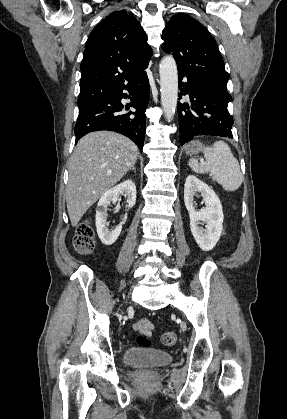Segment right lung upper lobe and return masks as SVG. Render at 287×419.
<instances>
[{"label":"right lung upper lobe","instance_id":"cb5924a9","mask_svg":"<svg viewBox=\"0 0 287 419\" xmlns=\"http://www.w3.org/2000/svg\"><path fill=\"white\" fill-rule=\"evenodd\" d=\"M152 50L140 23L114 11L90 33L80 66L78 106L87 107L134 83L146 72Z\"/></svg>","mask_w":287,"mask_h":419}]
</instances>
